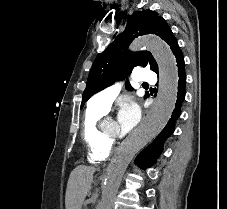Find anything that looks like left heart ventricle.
Returning <instances> with one entry per match:
<instances>
[{"label": "left heart ventricle", "mask_w": 227, "mask_h": 209, "mask_svg": "<svg viewBox=\"0 0 227 209\" xmlns=\"http://www.w3.org/2000/svg\"><path fill=\"white\" fill-rule=\"evenodd\" d=\"M104 130L112 136H124L125 135V133H123L122 130L119 128L118 123L113 120H110L106 124V126L104 127Z\"/></svg>", "instance_id": "1"}]
</instances>
